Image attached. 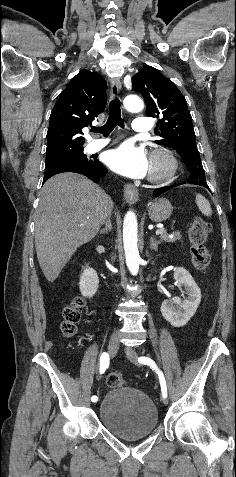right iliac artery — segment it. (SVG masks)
<instances>
[{"label": "right iliac artery", "instance_id": "1", "mask_svg": "<svg viewBox=\"0 0 236 477\" xmlns=\"http://www.w3.org/2000/svg\"><path fill=\"white\" fill-rule=\"evenodd\" d=\"M109 361H110V358L108 353L106 352L102 353L100 357V374H103L105 370L109 367ZM91 402L94 405L97 404L98 403L97 396H92Z\"/></svg>", "mask_w": 236, "mask_h": 477}]
</instances>
